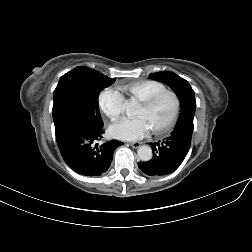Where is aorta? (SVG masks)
<instances>
[{
  "label": "aorta",
  "instance_id": "obj_1",
  "mask_svg": "<svg viewBox=\"0 0 252 252\" xmlns=\"http://www.w3.org/2000/svg\"><path fill=\"white\" fill-rule=\"evenodd\" d=\"M133 107V103H128L127 107H126V112L127 114H130L131 109ZM137 154L140 160L142 161H149L152 159V149L150 146L148 145H143L141 147L138 148L137 150Z\"/></svg>",
  "mask_w": 252,
  "mask_h": 252
}]
</instances>
